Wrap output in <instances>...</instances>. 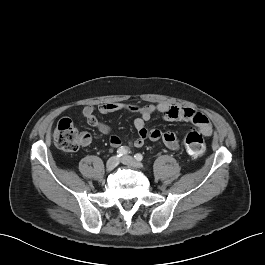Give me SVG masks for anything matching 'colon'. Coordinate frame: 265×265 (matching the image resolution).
<instances>
[{
    "label": "colon",
    "mask_w": 265,
    "mask_h": 265,
    "mask_svg": "<svg viewBox=\"0 0 265 265\" xmlns=\"http://www.w3.org/2000/svg\"><path fill=\"white\" fill-rule=\"evenodd\" d=\"M55 144L66 152H75L81 144V135L73 122L68 118L59 121L53 133ZM184 145L187 153L192 157H199L205 151L203 135L198 131H189L184 136Z\"/></svg>",
    "instance_id": "colon-1"
}]
</instances>
